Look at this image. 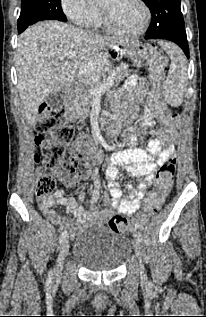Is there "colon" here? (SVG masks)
Listing matches in <instances>:
<instances>
[{"instance_id":"5ec220e1","label":"colon","mask_w":206,"mask_h":317,"mask_svg":"<svg viewBox=\"0 0 206 317\" xmlns=\"http://www.w3.org/2000/svg\"><path fill=\"white\" fill-rule=\"evenodd\" d=\"M149 78L155 87L160 88L165 78L167 58L162 51H155L148 63ZM164 124L170 128H178L179 116L169 111ZM36 144L41 149V156L36 161L41 163L36 182L35 193L38 199H44L54 191L55 178L61 182H73L89 174L92 162V144L87 136H81L75 142V150L67 157L66 149L74 137V127L65 112L57 107L43 105L36 123ZM177 160L174 156L168 159L157 171L154 178V190L146 198L142 211L136 218L116 215L108 219L107 225L116 232H134L145 224L162 207L168 195L176 171Z\"/></svg>"}]
</instances>
